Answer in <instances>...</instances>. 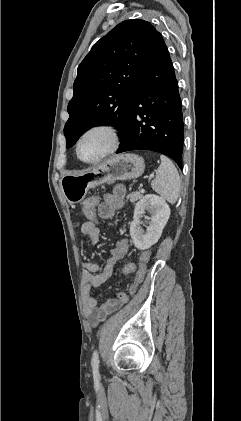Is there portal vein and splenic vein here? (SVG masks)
<instances>
[{
	"instance_id": "18ae733b",
	"label": "portal vein and splenic vein",
	"mask_w": 241,
	"mask_h": 421,
	"mask_svg": "<svg viewBox=\"0 0 241 421\" xmlns=\"http://www.w3.org/2000/svg\"><path fill=\"white\" fill-rule=\"evenodd\" d=\"M153 178H154V174H151L148 179L151 180ZM144 192H145V190L142 188L141 189V193H144Z\"/></svg>"
}]
</instances>
